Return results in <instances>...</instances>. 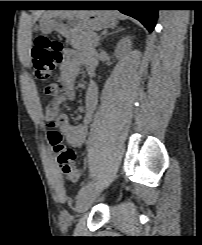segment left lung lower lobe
Segmentation results:
<instances>
[{
	"mask_svg": "<svg viewBox=\"0 0 202 245\" xmlns=\"http://www.w3.org/2000/svg\"><path fill=\"white\" fill-rule=\"evenodd\" d=\"M140 1H117L113 5L119 7V11L139 20L149 32H152L157 21L158 10L143 7ZM107 4L105 1H84L85 6H98Z\"/></svg>",
	"mask_w": 202,
	"mask_h": 245,
	"instance_id": "1",
	"label": "left lung lower lobe"
}]
</instances>
